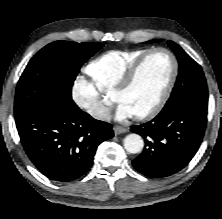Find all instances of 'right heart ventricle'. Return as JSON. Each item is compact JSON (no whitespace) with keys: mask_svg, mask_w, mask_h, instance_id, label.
Returning a JSON list of instances; mask_svg holds the SVG:
<instances>
[{"mask_svg":"<svg viewBox=\"0 0 222 219\" xmlns=\"http://www.w3.org/2000/svg\"><path fill=\"white\" fill-rule=\"evenodd\" d=\"M149 48L111 50L102 53L85 68L94 86L103 93H111L128 67Z\"/></svg>","mask_w":222,"mask_h":219,"instance_id":"obj_1","label":"right heart ventricle"}]
</instances>
